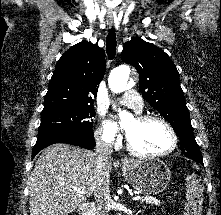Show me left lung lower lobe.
<instances>
[{
  "label": "left lung lower lobe",
  "mask_w": 221,
  "mask_h": 215,
  "mask_svg": "<svg viewBox=\"0 0 221 215\" xmlns=\"http://www.w3.org/2000/svg\"><path fill=\"white\" fill-rule=\"evenodd\" d=\"M193 160L203 164V160H202V157H198V158H192Z\"/></svg>",
  "instance_id": "0a47b994"
}]
</instances>
